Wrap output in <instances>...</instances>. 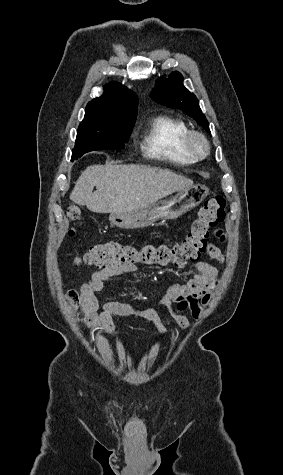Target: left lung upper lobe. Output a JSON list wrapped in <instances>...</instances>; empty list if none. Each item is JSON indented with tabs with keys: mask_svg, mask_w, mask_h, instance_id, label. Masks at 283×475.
<instances>
[{
	"mask_svg": "<svg viewBox=\"0 0 283 475\" xmlns=\"http://www.w3.org/2000/svg\"><path fill=\"white\" fill-rule=\"evenodd\" d=\"M182 83L183 77L179 72L170 74L167 79L160 77L150 97L162 105L182 110L209 131L208 121L200 109L196 96L190 93Z\"/></svg>",
	"mask_w": 283,
	"mask_h": 475,
	"instance_id": "5c2ea615",
	"label": "left lung upper lobe"
}]
</instances>
